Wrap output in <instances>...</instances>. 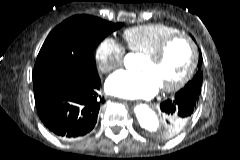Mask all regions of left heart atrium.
Returning a JSON list of instances; mask_svg holds the SVG:
<instances>
[{"label": "left heart atrium", "instance_id": "39dd6f15", "mask_svg": "<svg viewBox=\"0 0 240 160\" xmlns=\"http://www.w3.org/2000/svg\"><path fill=\"white\" fill-rule=\"evenodd\" d=\"M160 85L150 72H129L120 70L106 82V90L123 98H151L157 94Z\"/></svg>", "mask_w": 240, "mask_h": 160}]
</instances>
